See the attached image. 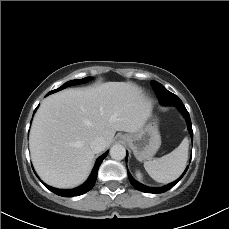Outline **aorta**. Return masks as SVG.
Listing matches in <instances>:
<instances>
[{"instance_id":"762f6f07","label":"aorta","mask_w":229,"mask_h":229,"mask_svg":"<svg viewBox=\"0 0 229 229\" xmlns=\"http://www.w3.org/2000/svg\"><path fill=\"white\" fill-rule=\"evenodd\" d=\"M126 155L125 147L120 144H115L110 149V156L115 160H122Z\"/></svg>"}]
</instances>
